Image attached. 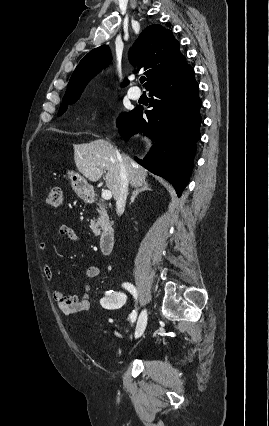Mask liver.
<instances>
[{"instance_id": "liver-1", "label": "liver", "mask_w": 269, "mask_h": 426, "mask_svg": "<svg viewBox=\"0 0 269 426\" xmlns=\"http://www.w3.org/2000/svg\"><path fill=\"white\" fill-rule=\"evenodd\" d=\"M118 151L104 139L74 146V161L78 171L91 182H97L105 175L106 186L116 199L119 184ZM131 186L138 187L146 182L147 172L127 155H121Z\"/></svg>"}]
</instances>
